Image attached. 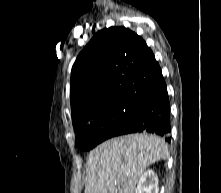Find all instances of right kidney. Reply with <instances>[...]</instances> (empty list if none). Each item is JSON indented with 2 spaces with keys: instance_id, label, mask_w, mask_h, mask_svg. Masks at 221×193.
Masks as SVG:
<instances>
[{
  "instance_id": "right-kidney-1",
  "label": "right kidney",
  "mask_w": 221,
  "mask_h": 193,
  "mask_svg": "<svg viewBox=\"0 0 221 193\" xmlns=\"http://www.w3.org/2000/svg\"><path fill=\"white\" fill-rule=\"evenodd\" d=\"M158 177L153 170H147L140 177L135 193H158Z\"/></svg>"
}]
</instances>
